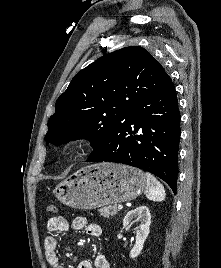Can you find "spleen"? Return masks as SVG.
Segmentation results:
<instances>
[{"label":"spleen","instance_id":"obj_1","mask_svg":"<svg viewBox=\"0 0 221 268\" xmlns=\"http://www.w3.org/2000/svg\"><path fill=\"white\" fill-rule=\"evenodd\" d=\"M163 185L150 173H146V197L151 201H163L165 199Z\"/></svg>","mask_w":221,"mask_h":268}]
</instances>
